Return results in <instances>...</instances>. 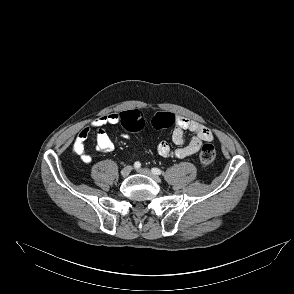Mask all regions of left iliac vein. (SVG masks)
<instances>
[{
    "label": "left iliac vein",
    "mask_w": 294,
    "mask_h": 294,
    "mask_svg": "<svg viewBox=\"0 0 294 294\" xmlns=\"http://www.w3.org/2000/svg\"><path fill=\"white\" fill-rule=\"evenodd\" d=\"M139 173L143 174V175H146L148 177H150L151 179H153L154 181L156 182H160L161 179L159 176L155 175L154 173H152L149 169L147 168H140L137 170Z\"/></svg>",
    "instance_id": "left-iliac-vein-1"
}]
</instances>
